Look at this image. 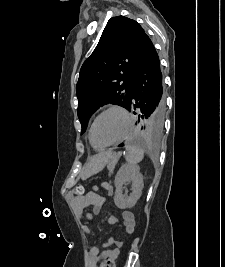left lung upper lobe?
<instances>
[{
  "instance_id": "left-lung-upper-lobe-1",
  "label": "left lung upper lobe",
  "mask_w": 225,
  "mask_h": 267,
  "mask_svg": "<svg viewBox=\"0 0 225 267\" xmlns=\"http://www.w3.org/2000/svg\"><path fill=\"white\" fill-rule=\"evenodd\" d=\"M146 37L135 20L117 16L108 21L95 50L81 67L76 86L81 133L90 116L105 104L129 109L134 73ZM136 124L148 135H159L163 129V124L157 125L151 116Z\"/></svg>"
}]
</instances>
